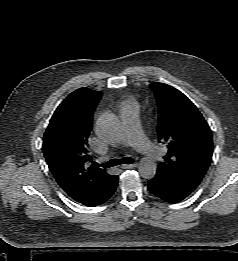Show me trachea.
I'll return each mask as SVG.
<instances>
[{
    "label": "trachea",
    "mask_w": 238,
    "mask_h": 261,
    "mask_svg": "<svg viewBox=\"0 0 238 261\" xmlns=\"http://www.w3.org/2000/svg\"><path fill=\"white\" fill-rule=\"evenodd\" d=\"M132 163H133V159L131 157H123L120 160L118 159L109 160L107 163H105L104 167L110 168L120 164H132Z\"/></svg>",
    "instance_id": "obj_1"
}]
</instances>
